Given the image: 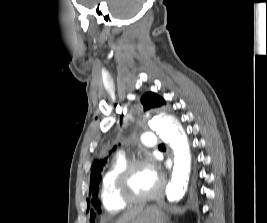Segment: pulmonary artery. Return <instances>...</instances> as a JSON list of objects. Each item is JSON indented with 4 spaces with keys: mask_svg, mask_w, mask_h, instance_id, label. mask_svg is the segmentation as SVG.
Listing matches in <instances>:
<instances>
[{
    "mask_svg": "<svg viewBox=\"0 0 267 223\" xmlns=\"http://www.w3.org/2000/svg\"><path fill=\"white\" fill-rule=\"evenodd\" d=\"M141 141L143 145L151 148H154L158 143L156 135L152 133L143 134L141 136Z\"/></svg>",
    "mask_w": 267,
    "mask_h": 223,
    "instance_id": "obj_1",
    "label": "pulmonary artery"
}]
</instances>
